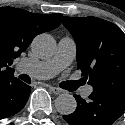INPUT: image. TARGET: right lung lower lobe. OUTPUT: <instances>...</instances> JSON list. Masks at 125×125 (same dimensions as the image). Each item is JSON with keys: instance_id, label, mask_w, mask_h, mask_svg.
<instances>
[{"instance_id": "obj_1", "label": "right lung lower lobe", "mask_w": 125, "mask_h": 125, "mask_svg": "<svg viewBox=\"0 0 125 125\" xmlns=\"http://www.w3.org/2000/svg\"><path fill=\"white\" fill-rule=\"evenodd\" d=\"M30 86L12 76L0 80V119L10 117L25 106Z\"/></svg>"}]
</instances>
